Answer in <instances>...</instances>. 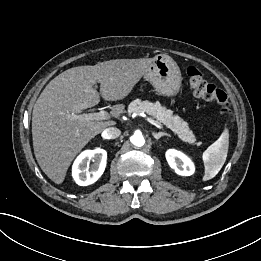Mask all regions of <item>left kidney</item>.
Returning a JSON list of instances; mask_svg holds the SVG:
<instances>
[{
  "label": "left kidney",
  "instance_id": "5707ae66",
  "mask_svg": "<svg viewBox=\"0 0 261 261\" xmlns=\"http://www.w3.org/2000/svg\"><path fill=\"white\" fill-rule=\"evenodd\" d=\"M166 159L169 166L181 176H190L194 173L193 162L182 152L170 149L166 152Z\"/></svg>",
  "mask_w": 261,
  "mask_h": 261
}]
</instances>
